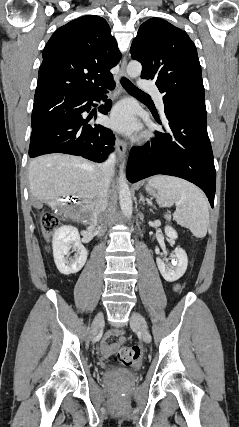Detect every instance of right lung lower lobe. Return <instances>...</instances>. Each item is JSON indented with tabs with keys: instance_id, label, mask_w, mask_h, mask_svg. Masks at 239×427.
<instances>
[{
	"instance_id": "right-lung-lower-lobe-1",
	"label": "right lung lower lobe",
	"mask_w": 239,
	"mask_h": 427,
	"mask_svg": "<svg viewBox=\"0 0 239 427\" xmlns=\"http://www.w3.org/2000/svg\"><path fill=\"white\" fill-rule=\"evenodd\" d=\"M111 82L106 86L113 89L114 84ZM104 87L93 92L58 96L56 104L32 126L29 156L60 152L82 156L94 162L104 161L113 150L114 134L99 124L89 125L92 117L83 118V112L91 109L93 101L102 98ZM107 102L104 109H99L103 114L110 110L111 101Z\"/></svg>"
}]
</instances>
